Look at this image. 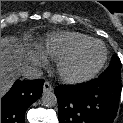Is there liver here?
I'll use <instances>...</instances> for the list:
<instances>
[{
    "instance_id": "obj_1",
    "label": "liver",
    "mask_w": 123,
    "mask_h": 123,
    "mask_svg": "<svg viewBox=\"0 0 123 123\" xmlns=\"http://www.w3.org/2000/svg\"><path fill=\"white\" fill-rule=\"evenodd\" d=\"M26 39L23 38V41ZM20 41L15 37L1 38V97L25 68L23 64L25 45Z\"/></svg>"
}]
</instances>
